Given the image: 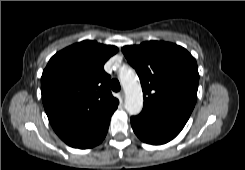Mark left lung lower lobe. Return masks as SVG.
<instances>
[{
	"mask_svg": "<svg viewBox=\"0 0 245 170\" xmlns=\"http://www.w3.org/2000/svg\"><path fill=\"white\" fill-rule=\"evenodd\" d=\"M131 125L142 141L159 145L175 138L185 124L142 111L138 116L131 117Z\"/></svg>",
	"mask_w": 245,
	"mask_h": 170,
	"instance_id": "1",
	"label": "left lung lower lobe"
}]
</instances>
